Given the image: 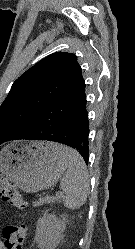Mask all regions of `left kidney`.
<instances>
[{"label":"left kidney","mask_w":135,"mask_h":249,"mask_svg":"<svg viewBox=\"0 0 135 249\" xmlns=\"http://www.w3.org/2000/svg\"><path fill=\"white\" fill-rule=\"evenodd\" d=\"M65 228V217L59 218L55 214L45 212L38 219L34 241L39 249H56L63 238Z\"/></svg>","instance_id":"obj_1"}]
</instances>
